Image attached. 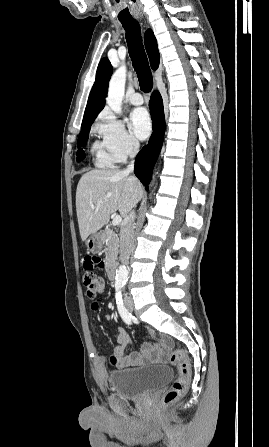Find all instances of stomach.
I'll return each mask as SVG.
<instances>
[{
    "instance_id": "1",
    "label": "stomach",
    "mask_w": 269,
    "mask_h": 447,
    "mask_svg": "<svg viewBox=\"0 0 269 447\" xmlns=\"http://www.w3.org/2000/svg\"><path fill=\"white\" fill-rule=\"evenodd\" d=\"M86 245L89 251H92V253H98V251H101L104 245L103 231H96V233H92V235L88 237Z\"/></svg>"
}]
</instances>
